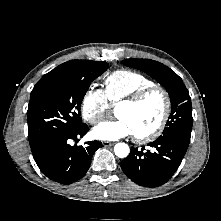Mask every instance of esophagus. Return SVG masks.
Wrapping results in <instances>:
<instances>
[{
	"label": "esophagus",
	"instance_id": "1",
	"mask_svg": "<svg viewBox=\"0 0 221 221\" xmlns=\"http://www.w3.org/2000/svg\"><path fill=\"white\" fill-rule=\"evenodd\" d=\"M102 145H103L104 147H109V146L114 145V143H113V142H110V141H102Z\"/></svg>",
	"mask_w": 221,
	"mask_h": 221
}]
</instances>
